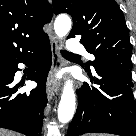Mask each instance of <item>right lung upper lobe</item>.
<instances>
[{
    "label": "right lung upper lobe",
    "mask_w": 136,
    "mask_h": 136,
    "mask_svg": "<svg viewBox=\"0 0 136 136\" xmlns=\"http://www.w3.org/2000/svg\"><path fill=\"white\" fill-rule=\"evenodd\" d=\"M51 19L46 0H0V65L47 38L43 25Z\"/></svg>",
    "instance_id": "right-lung-upper-lobe-1"
}]
</instances>
